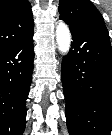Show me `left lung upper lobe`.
Wrapping results in <instances>:
<instances>
[{
	"instance_id": "1",
	"label": "left lung upper lobe",
	"mask_w": 112,
	"mask_h": 135,
	"mask_svg": "<svg viewBox=\"0 0 112 135\" xmlns=\"http://www.w3.org/2000/svg\"><path fill=\"white\" fill-rule=\"evenodd\" d=\"M58 10L71 28L108 34L102 15L89 0H60Z\"/></svg>"
}]
</instances>
